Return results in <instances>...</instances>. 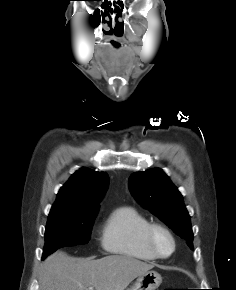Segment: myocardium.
Instances as JSON below:
<instances>
[{
    "instance_id": "obj_1",
    "label": "myocardium",
    "mask_w": 236,
    "mask_h": 290,
    "mask_svg": "<svg viewBox=\"0 0 236 290\" xmlns=\"http://www.w3.org/2000/svg\"><path fill=\"white\" fill-rule=\"evenodd\" d=\"M163 234L165 235L171 242V250L169 253L164 254L160 251L157 245V237L158 235ZM145 240L148 249L156 258L166 259L173 255L176 250V240L169 228L162 224H150L146 233H145Z\"/></svg>"
}]
</instances>
